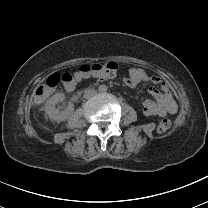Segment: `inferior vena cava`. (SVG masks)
Segmentation results:
<instances>
[{
  "label": "inferior vena cava",
  "mask_w": 208,
  "mask_h": 208,
  "mask_svg": "<svg viewBox=\"0 0 208 208\" xmlns=\"http://www.w3.org/2000/svg\"><path fill=\"white\" fill-rule=\"evenodd\" d=\"M95 94H96V91H95L94 89H92V88H87V89H85V91H84V98L90 99V98H92L93 96H95Z\"/></svg>",
  "instance_id": "1"
}]
</instances>
